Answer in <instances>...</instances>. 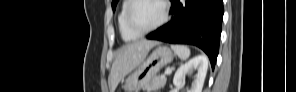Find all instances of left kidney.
Returning <instances> with one entry per match:
<instances>
[{"label": "left kidney", "instance_id": "5707ae66", "mask_svg": "<svg viewBox=\"0 0 296 92\" xmlns=\"http://www.w3.org/2000/svg\"><path fill=\"white\" fill-rule=\"evenodd\" d=\"M208 69V59L204 55H198L190 59L185 64H182L176 71L173 84L175 86H183L184 78L187 74L197 70V74L192 83V86L187 92H202L205 77Z\"/></svg>", "mask_w": 296, "mask_h": 92}]
</instances>
